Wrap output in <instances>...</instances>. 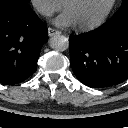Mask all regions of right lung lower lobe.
<instances>
[{
	"instance_id": "98d812e1",
	"label": "right lung lower lobe",
	"mask_w": 128,
	"mask_h": 128,
	"mask_svg": "<svg viewBox=\"0 0 128 128\" xmlns=\"http://www.w3.org/2000/svg\"><path fill=\"white\" fill-rule=\"evenodd\" d=\"M47 27L30 6L0 4V82L17 84L37 68Z\"/></svg>"
}]
</instances>
